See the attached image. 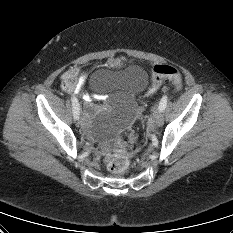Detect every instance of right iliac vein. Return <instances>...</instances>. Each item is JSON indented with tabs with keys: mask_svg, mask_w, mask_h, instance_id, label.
Listing matches in <instances>:
<instances>
[{
	"mask_svg": "<svg viewBox=\"0 0 233 233\" xmlns=\"http://www.w3.org/2000/svg\"><path fill=\"white\" fill-rule=\"evenodd\" d=\"M75 121H76L75 127L77 129H80L82 127V124L80 123L79 118L75 119Z\"/></svg>",
	"mask_w": 233,
	"mask_h": 233,
	"instance_id": "obj_1",
	"label": "right iliac vein"
}]
</instances>
